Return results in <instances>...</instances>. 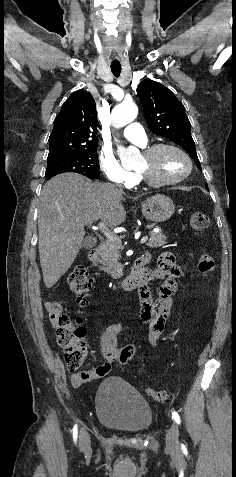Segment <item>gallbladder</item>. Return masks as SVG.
I'll return each mask as SVG.
<instances>
[{
  "label": "gallbladder",
  "instance_id": "bac80fb5",
  "mask_svg": "<svg viewBox=\"0 0 236 477\" xmlns=\"http://www.w3.org/2000/svg\"><path fill=\"white\" fill-rule=\"evenodd\" d=\"M94 245H95V241H94V239L91 238V237H86V238L83 240V243H82V246H83L85 249H90V248H92Z\"/></svg>",
  "mask_w": 236,
  "mask_h": 477
}]
</instances>
